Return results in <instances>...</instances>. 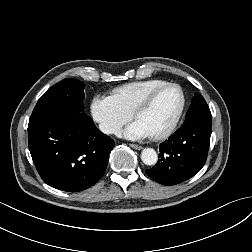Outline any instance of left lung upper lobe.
I'll return each mask as SVG.
<instances>
[{
	"instance_id": "obj_1",
	"label": "left lung upper lobe",
	"mask_w": 252,
	"mask_h": 252,
	"mask_svg": "<svg viewBox=\"0 0 252 252\" xmlns=\"http://www.w3.org/2000/svg\"><path fill=\"white\" fill-rule=\"evenodd\" d=\"M196 120L212 121L209 107L203 96L198 93H196L192 99V103L190 105L189 110L187 111L184 124Z\"/></svg>"
}]
</instances>
